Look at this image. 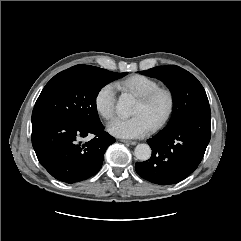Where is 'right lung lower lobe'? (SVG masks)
Returning a JSON list of instances; mask_svg holds the SVG:
<instances>
[{
  "label": "right lung lower lobe",
  "instance_id": "98d812e1",
  "mask_svg": "<svg viewBox=\"0 0 241 241\" xmlns=\"http://www.w3.org/2000/svg\"><path fill=\"white\" fill-rule=\"evenodd\" d=\"M96 135L82 144L81 138ZM115 138L104 131L102 123L87 126L66 120L32 123V145L40 164L55 179L76 183L95 175L104 153Z\"/></svg>",
  "mask_w": 241,
  "mask_h": 241
}]
</instances>
